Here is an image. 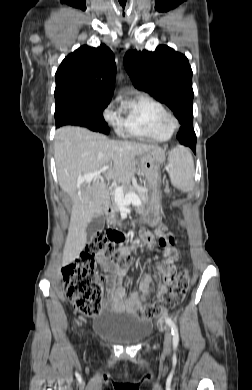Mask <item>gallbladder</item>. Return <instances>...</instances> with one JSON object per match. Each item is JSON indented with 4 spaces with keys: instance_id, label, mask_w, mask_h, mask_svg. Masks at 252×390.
Here are the masks:
<instances>
[{
    "instance_id": "gallbladder-1",
    "label": "gallbladder",
    "mask_w": 252,
    "mask_h": 390,
    "mask_svg": "<svg viewBox=\"0 0 252 390\" xmlns=\"http://www.w3.org/2000/svg\"><path fill=\"white\" fill-rule=\"evenodd\" d=\"M104 228V219L103 218H94L87 226V238L90 240L98 231L103 230Z\"/></svg>"
}]
</instances>
